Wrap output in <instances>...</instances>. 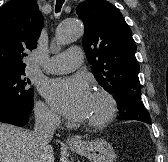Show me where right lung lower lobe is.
Returning a JSON list of instances; mask_svg holds the SVG:
<instances>
[{
  "mask_svg": "<svg viewBox=\"0 0 168 162\" xmlns=\"http://www.w3.org/2000/svg\"><path fill=\"white\" fill-rule=\"evenodd\" d=\"M30 112L25 108L0 104V122L24 126L28 123Z\"/></svg>",
  "mask_w": 168,
  "mask_h": 162,
  "instance_id": "1",
  "label": "right lung lower lobe"
}]
</instances>
